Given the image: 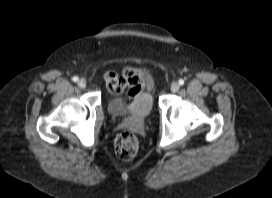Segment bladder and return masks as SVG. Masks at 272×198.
Segmentation results:
<instances>
[{"mask_svg":"<svg viewBox=\"0 0 272 198\" xmlns=\"http://www.w3.org/2000/svg\"><path fill=\"white\" fill-rule=\"evenodd\" d=\"M152 95L150 92L136 97L127 103L123 98L114 96L107 100V109L114 118L147 117L152 110Z\"/></svg>","mask_w":272,"mask_h":198,"instance_id":"obj_1","label":"bladder"}]
</instances>
